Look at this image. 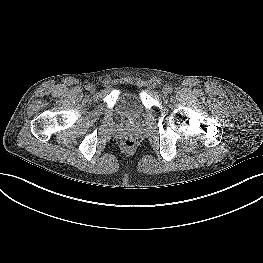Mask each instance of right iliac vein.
Returning <instances> with one entry per match:
<instances>
[{
  "instance_id": "obj_1",
  "label": "right iliac vein",
  "mask_w": 263,
  "mask_h": 263,
  "mask_svg": "<svg viewBox=\"0 0 263 263\" xmlns=\"http://www.w3.org/2000/svg\"><path fill=\"white\" fill-rule=\"evenodd\" d=\"M89 91L90 92H95L96 91V87L94 85H91L90 88H89Z\"/></svg>"
}]
</instances>
